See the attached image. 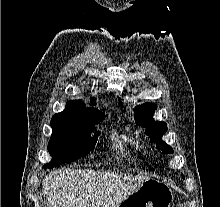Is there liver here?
<instances>
[{
    "label": "liver",
    "instance_id": "1",
    "mask_svg": "<svg viewBox=\"0 0 220 207\" xmlns=\"http://www.w3.org/2000/svg\"><path fill=\"white\" fill-rule=\"evenodd\" d=\"M140 176L89 169H60L42 182L49 207H117L137 190Z\"/></svg>",
    "mask_w": 220,
    "mask_h": 207
}]
</instances>
